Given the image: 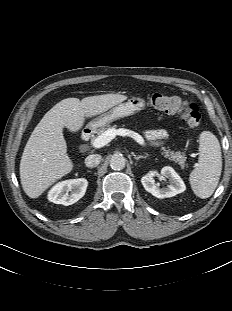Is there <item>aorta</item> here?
Instances as JSON below:
<instances>
[{"instance_id": "762f6f07", "label": "aorta", "mask_w": 232, "mask_h": 311, "mask_svg": "<svg viewBox=\"0 0 232 311\" xmlns=\"http://www.w3.org/2000/svg\"><path fill=\"white\" fill-rule=\"evenodd\" d=\"M126 159L122 154H114L110 159V167L113 170H122L125 168Z\"/></svg>"}]
</instances>
